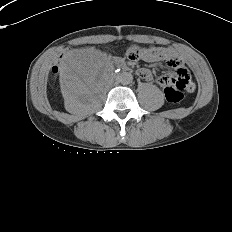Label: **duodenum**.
<instances>
[{
    "label": "duodenum",
    "mask_w": 232,
    "mask_h": 232,
    "mask_svg": "<svg viewBox=\"0 0 232 232\" xmlns=\"http://www.w3.org/2000/svg\"><path fill=\"white\" fill-rule=\"evenodd\" d=\"M117 67L122 71H129V66L126 63L118 62Z\"/></svg>",
    "instance_id": "duodenum-1"
}]
</instances>
